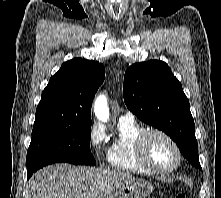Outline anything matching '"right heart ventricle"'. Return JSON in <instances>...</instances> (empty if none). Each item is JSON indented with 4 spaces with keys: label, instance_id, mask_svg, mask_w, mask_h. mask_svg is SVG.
<instances>
[{
    "label": "right heart ventricle",
    "instance_id": "e07e8e85",
    "mask_svg": "<svg viewBox=\"0 0 221 198\" xmlns=\"http://www.w3.org/2000/svg\"><path fill=\"white\" fill-rule=\"evenodd\" d=\"M144 130L145 128L134 120L119 121L117 136L107 152V161L112 168L136 173H151L139 162L136 152L137 139Z\"/></svg>",
    "mask_w": 221,
    "mask_h": 198
}]
</instances>
